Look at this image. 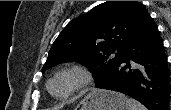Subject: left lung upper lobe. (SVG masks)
Here are the masks:
<instances>
[{"label":"left lung upper lobe","instance_id":"left-lung-upper-lobe-1","mask_svg":"<svg viewBox=\"0 0 171 110\" xmlns=\"http://www.w3.org/2000/svg\"><path fill=\"white\" fill-rule=\"evenodd\" d=\"M149 18L138 1H106L94 7L68 23L53 43L42 72L76 60L93 73L96 85L103 82Z\"/></svg>","mask_w":171,"mask_h":110}]
</instances>
